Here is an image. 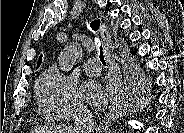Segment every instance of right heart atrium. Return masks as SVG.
Segmentation results:
<instances>
[{"mask_svg":"<svg viewBox=\"0 0 184 133\" xmlns=\"http://www.w3.org/2000/svg\"><path fill=\"white\" fill-rule=\"evenodd\" d=\"M37 91L41 111L50 120L67 121L87 111L74 82L55 68L41 76Z\"/></svg>","mask_w":184,"mask_h":133,"instance_id":"d8ad5b80","label":"right heart atrium"}]
</instances>
